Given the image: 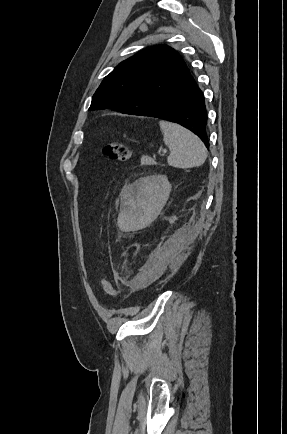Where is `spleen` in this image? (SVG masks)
I'll return each instance as SVG.
<instances>
[{
    "mask_svg": "<svg viewBox=\"0 0 287 434\" xmlns=\"http://www.w3.org/2000/svg\"><path fill=\"white\" fill-rule=\"evenodd\" d=\"M163 141L170 149L167 162L175 168L201 166L207 158V149L203 142L191 131L181 125L167 121L159 122ZM143 221L141 224H144Z\"/></svg>",
    "mask_w": 287,
    "mask_h": 434,
    "instance_id": "obj_1",
    "label": "spleen"
}]
</instances>
